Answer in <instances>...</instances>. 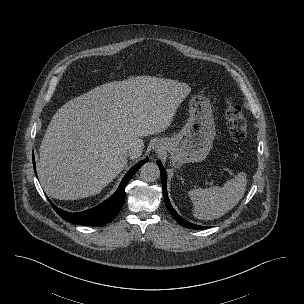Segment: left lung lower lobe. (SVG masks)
<instances>
[{
	"mask_svg": "<svg viewBox=\"0 0 304 304\" xmlns=\"http://www.w3.org/2000/svg\"><path fill=\"white\" fill-rule=\"evenodd\" d=\"M157 165L160 168V174H161V180H162V188H163V194H164V200H165V204L166 207L168 209V211L173 215V217L176 219V221L181 224L184 227L190 228V229H204V226H199L196 224H193L191 222L186 221L185 219H183L172 207L168 195H167V188H166V184H167V173L164 169V167L162 166L160 161H157Z\"/></svg>",
	"mask_w": 304,
	"mask_h": 304,
	"instance_id": "0a47b994",
	"label": "left lung lower lobe"
}]
</instances>
